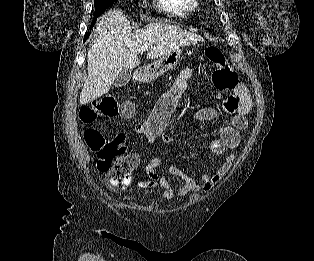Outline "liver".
Instances as JSON below:
<instances>
[{
  "instance_id": "6515ba94",
  "label": "liver",
  "mask_w": 314,
  "mask_h": 261,
  "mask_svg": "<svg viewBox=\"0 0 314 261\" xmlns=\"http://www.w3.org/2000/svg\"><path fill=\"white\" fill-rule=\"evenodd\" d=\"M201 41L200 36L166 23H151L132 31L122 11H107L95 28L94 43L88 50V77L80 94V104L106 94L123 69L139 66L138 54L143 45L149 46L148 59H158Z\"/></svg>"
}]
</instances>
